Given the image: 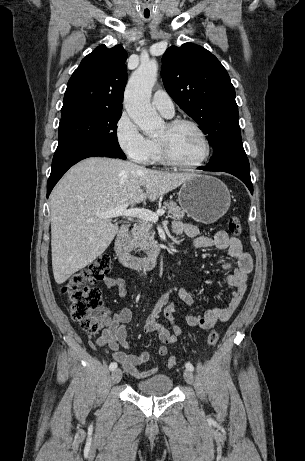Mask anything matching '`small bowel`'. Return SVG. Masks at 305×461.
Wrapping results in <instances>:
<instances>
[{
    "label": "small bowel",
    "instance_id": "small-bowel-1",
    "mask_svg": "<svg viewBox=\"0 0 305 461\" xmlns=\"http://www.w3.org/2000/svg\"><path fill=\"white\" fill-rule=\"evenodd\" d=\"M172 230L175 235L185 234L190 237L192 239L191 247L194 249L214 247L226 250L229 254V260L223 264L224 270L236 264V268L226 278L227 283L234 288L228 305L224 308L209 309L202 315H186V322L190 327L204 330L211 329L217 323L228 320L240 305L247 290L248 274L253 268L252 258L249 253L244 251L241 241L237 237L229 236L225 231H217L211 237L204 236L199 234V229L196 225L179 220L173 222ZM103 283L106 288L115 289L119 297H124L127 293L126 283L120 277H106ZM174 292L185 304L191 305L194 303L191 293L184 288L174 286L161 295L152 312L148 315L144 331L156 334L161 341V345L157 349L159 357H165L168 353L167 346L175 343L177 338L183 334V329L174 323L176 305L170 301V296ZM161 317L169 324V327L161 323ZM131 319V310L126 307L119 309L113 315L107 313L104 318L106 324L101 336L98 338V344L110 348L112 358L121 364L125 372L137 379H144L157 371L156 367L150 369L139 368L149 361L150 353L148 351L126 353L121 350V348L131 349L127 341L126 329Z\"/></svg>",
    "mask_w": 305,
    "mask_h": 461
}]
</instances>
